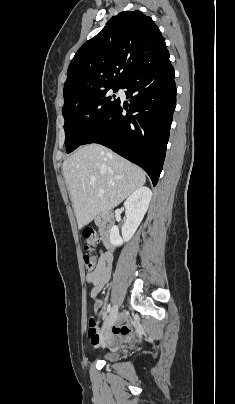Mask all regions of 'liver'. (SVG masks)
Returning a JSON list of instances; mask_svg holds the SVG:
<instances>
[{
    "label": "liver",
    "mask_w": 235,
    "mask_h": 404,
    "mask_svg": "<svg viewBox=\"0 0 235 404\" xmlns=\"http://www.w3.org/2000/svg\"><path fill=\"white\" fill-rule=\"evenodd\" d=\"M62 170L79 228L118 206L146 182L141 168L95 143L77 149Z\"/></svg>",
    "instance_id": "6515ba94"
}]
</instances>
